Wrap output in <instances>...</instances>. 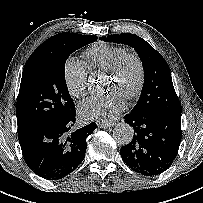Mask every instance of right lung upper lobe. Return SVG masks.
Masks as SVG:
<instances>
[{
	"mask_svg": "<svg viewBox=\"0 0 203 203\" xmlns=\"http://www.w3.org/2000/svg\"><path fill=\"white\" fill-rule=\"evenodd\" d=\"M71 34H74V33H59V34H56V35L48 38L45 42H43L35 51H40V50L50 48V47L54 46L55 44L59 43L60 41H62L63 39H65L66 37H68Z\"/></svg>",
	"mask_w": 203,
	"mask_h": 203,
	"instance_id": "obj_1",
	"label": "right lung upper lobe"
}]
</instances>
